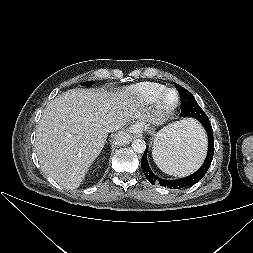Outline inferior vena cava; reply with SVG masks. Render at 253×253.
Wrapping results in <instances>:
<instances>
[{"label":"inferior vena cava","instance_id":"1","mask_svg":"<svg viewBox=\"0 0 253 253\" xmlns=\"http://www.w3.org/2000/svg\"><path fill=\"white\" fill-rule=\"evenodd\" d=\"M118 129V126H112V127H109L108 128V131H114V130H117Z\"/></svg>","mask_w":253,"mask_h":253}]
</instances>
